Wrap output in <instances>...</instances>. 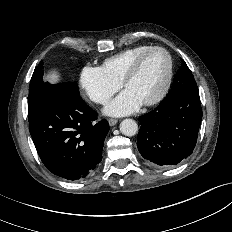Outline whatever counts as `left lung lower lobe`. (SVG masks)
Returning a JSON list of instances; mask_svg holds the SVG:
<instances>
[{"label":"left lung lower lobe","instance_id":"0a47b994","mask_svg":"<svg viewBox=\"0 0 232 232\" xmlns=\"http://www.w3.org/2000/svg\"><path fill=\"white\" fill-rule=\"evenodd\" d=\"M201 119L199 94L171 89L158 107L139 117V152L156 167L178 165L191 155Z\"/></svg>","mask_w":232,"mask_h":232}]
</instances>
